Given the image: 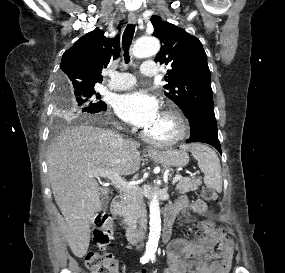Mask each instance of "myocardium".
<instances>
[{
  "mask_svg": "<svg viewBox=\"0 0 285 273\" xmlns=\"http://www.w3.org/2000/svg\"><path fill=\"white\" fill-rule=\"evenodd\" d=\"M161 114L174 120L177 126L176 134L168 139H156L144 131L142 133V138L156 146H171L183 141L189 133V123L185 115L178 108L173 106L167 107Z\"/></svg>",
  "mask_w": 285,
  "mask_h": 273,
  "instance_id": "myocardium-1",
  "label": "myocardium"
}]
</instances>
